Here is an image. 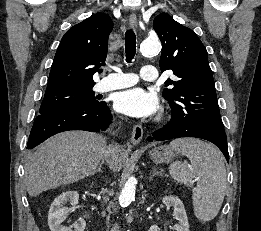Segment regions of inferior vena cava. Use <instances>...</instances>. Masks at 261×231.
Wrapping results in <instances>:
<instances>
[{"mask_svg":"<svg viewBox=\"0 0 261 231\" xmlns=\"http://www.w3.org/2000/svg\"><path fill=\"white\" fill-rule=\"evenodd\" d=\"M115 151V148L114 146H108L107 149H106V152H105V159H108L111 155L112 152Z\"/></svg>","mask_w":261,"mask_h":231,"instance_id":"inferior-vena-cava-1","label":"inferior vena cava"}]
</instances>
